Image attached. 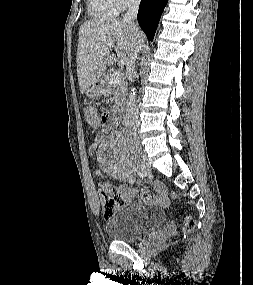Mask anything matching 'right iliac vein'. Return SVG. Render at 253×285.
Returning a JSON list of instances; mask_svg holds the SVG:
<instances>
[{
	"instance_id": "1",
	"label": "right iliac vein",
	"mask_w": 253,
	"mask_h": 285,
	"mask_svg": "<svg viewBox=\"0 0 253 285\" xmlns=\"http://www.w3.org/2000/svg\"><path fill=\"white\" fill-rule=\"evenodd\" d=\"M140 171L143 175H147L150 171V162L144 156L140 162Z\"/></svg>"
}]
</instances>
